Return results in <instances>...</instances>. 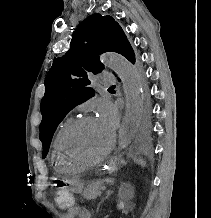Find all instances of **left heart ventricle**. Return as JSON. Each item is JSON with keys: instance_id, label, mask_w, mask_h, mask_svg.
Instances as JSON below:
<instances>
[{"instance_id": "obj_1", "label": "left heart ventricle", "mask_w": 211, "mask_h": 218, "mask_svg": "<svg viewBox=\"0 0 211 218\" xmlns=\"http://www.w3.org/2000/svg\"><path fill=\"white\" fill-rule=\"evenodd\" d=\"M113 133L106 130L95 118L83 123L71 136L67 148L69 157L79 160L93 158L112 142Z\"/></svg>"}]
</instances>
